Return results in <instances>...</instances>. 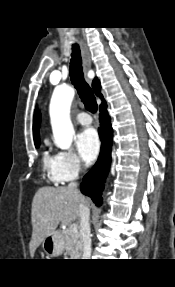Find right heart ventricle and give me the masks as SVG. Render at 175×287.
Wrapping results in <instances>:
<instances>
[{"label": "right heart ventricle", "instance_id": "e07e8e85", "mask_svg": "<svg viewBox=\"0 0 175 287\" xmlns=\"http://www.w3.org/2000/svg\"><path fill=\"white\" fill-rule=\"evenodd\" d=\"M43 170L53 182L60 183L57 175V158L56 155H51L50 152H44L43 159Z\"/></svg>", "mask_w": 175, "mask_h": 287}]
</instances>
